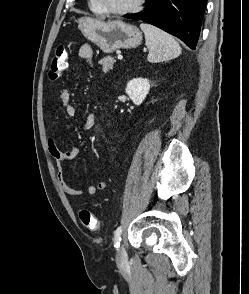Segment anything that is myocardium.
I'll use <instances>...</instances> for the list:
<instances>
[{"instance_id":"myocardium-1","label":"myocardium","mask_w":249,"mask_h":294,"mask_svg":"<svg viewBox=\"0 0 249 294\" xmlns=\"http://www.w3.org/2000/svg\"><path fill=\"white\" fill-rule=\"evenodd\" d=\"M98 6L101 8L103 13L105 14H111V15H127L133 12L138 11L146 0H136L131 6L124 8V9H112L103 4L102 0H95Z\"/></svg>"}]
</instances>
